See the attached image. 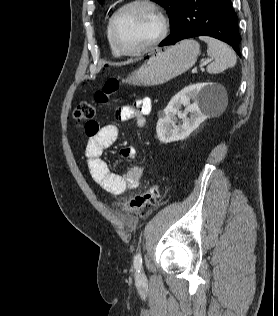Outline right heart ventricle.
<instances>
[{"instance_id":"e07e8e85","label":"right heart ventricle","mask_w":278,"mask_h":316,"mask_svg":"<svg viewBox=\"0 0 278 316\" xmlns=\"http://www.w3.org/2000/svg\"><path fill=\"white\" fill-rule=\"evenodd\" d=\"M110 20L111 17L108 19L107 23H106V29H105V34H106V39L109 45V48L111 50V53L115 56V57H119L122 54L114 47L112 40H111V35H110Z\"/></svg>"}]
</instances>
